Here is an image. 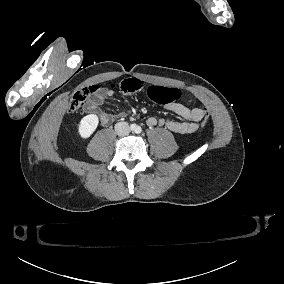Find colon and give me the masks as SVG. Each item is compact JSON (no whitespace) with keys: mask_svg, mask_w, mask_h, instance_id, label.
<instances>
[{"mask_svg":"<svg viewBox=\"0 0 284 284\" xmlns=\"http://www.w3.org/2000/svg\"><path fill=\"white\" fill-rule=\"evenodd\" d=\"M100 85L93 84L89 87L83 88L78 90L73 94V97L70 101L69 110L73 113H76L80 110L81 106L83 105L85 99L90 96L92 93L96 92L100 89ZM111 87L115 88V85ZM143 87V83L137 79H128L122 82L121 88L123 92H136L141 90ZM184 95L182 89L176 87H166L161 88L159 86H151L147 90V97L151 101H156L160 104L171 102V101H179ZM210 114H205L204 123H202V130H207V123H209Z\"/></svg>","mask_w":284,"mask_h":284,"instance_id":"5ec220e1","label":"colon"}]
</instances>
